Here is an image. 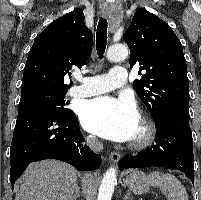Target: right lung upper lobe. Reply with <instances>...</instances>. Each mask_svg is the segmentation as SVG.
<instances>
[{"label": "right lung upper lobe", "instance_id": "1", "mask_svg": "<svg viewBox=\"0 0 201 200\" xmlns=\"http://www.w3.org/2000/svg\"><path fill=\"white\" fill-rule=\"evenodd\" d=\"M93 35L85 26L81 9L53 21L35 38L26 61L21 95L35 92H67L73 66L81 68L89 58ZM70 79V84L66 82Z\"/></svg>", "mask_w": 201, "mask_h": 200}]
</instances>
